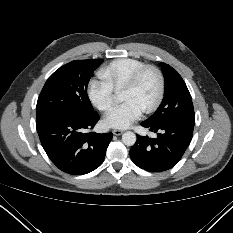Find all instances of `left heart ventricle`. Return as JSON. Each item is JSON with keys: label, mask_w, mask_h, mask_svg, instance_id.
<instances>
[{"label": "left heart ventricle", "mask_w": 233, "mask_h": 233, "mask_svg": "<svg viewBox=\"0 0 233 233\" xmlns=\"http://www.w3.org/2000/svg\"><path fill=\"white\" fill-rule=\"evenodd\" d=\"M157 92V77L154 73L149 72L145 74L137 87L123 89L122 100L134 101L144 110L155 100Z\"/></svg>", "instance_id": "b2bd125f"}]
</instances>
